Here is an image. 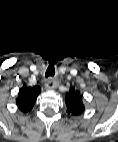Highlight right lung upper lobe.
Returning <instances> with one entry per match:
<instances>
[{"mask_svg":"<svg viewBox=\"0 0 118 142\" xmlns=\"http://www.w3.org/2000/svg\"><path fill=\"white\" fill-rule=\"evenodd\" d=\"M41 88L37 86L28 87L25 84L19 90L18 98L16 99L17 106L23 112H28L32 109L37 96L40 94Z\"/></svg>","mask_w":118,"mask_h":142,"instance_id":"1","label":"right lung upper lobe"}]
</instances>
